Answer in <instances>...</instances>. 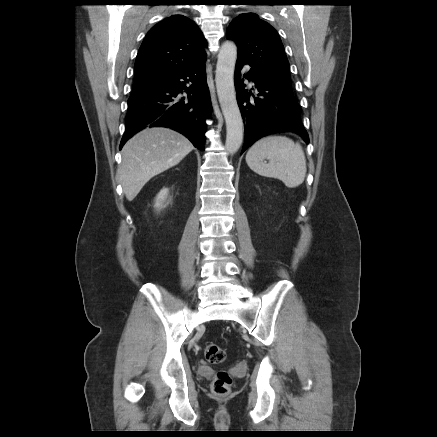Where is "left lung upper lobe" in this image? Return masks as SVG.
Masks as SVG:
<instances>
[{
	"label": "left lung upper lobe",
	"instance_id": "left-lung-upper-lobe-1",
	"mask_svg": "<svg viewBox=\"0 0 437 437\" xmlns=\"http://www.w3.org/2000/svg\"><path fill=\"white\" fill-rule=\"evenodd\" d=\"M236 42L238 59L269 82L292 92L289 62L277 31L255 13L237 16L226 31Z\"/></svg>",
	"mask_w": 437,
	"mask_h": 437
}]
</instances>
